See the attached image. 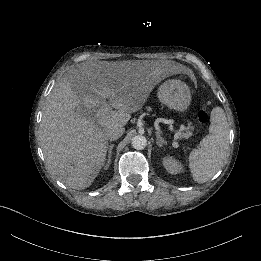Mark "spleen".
<instances>
[{"instance_id": "spleen-1", "label": "spleen", "mask_w": 261, "mask_h": 261, "mask_svg": "<svg viewBox=\"0 0 261 261\" xmlns=\"http://www.w3.org/2000/svg\"><path fill=\"white\" fill-rule=\"evenodd\" d=\"M211 133L189 155V168L197 183L210 180L223 165L229 148V125L224 110L215 107L211 111Z\"/></svg>"}]
</instances>
